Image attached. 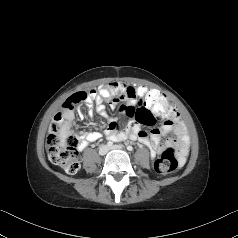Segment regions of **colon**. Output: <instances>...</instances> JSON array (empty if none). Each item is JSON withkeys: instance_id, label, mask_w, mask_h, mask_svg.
Listing matches in <instances>:
<instances>
[{"instance_id": "1", "label": "colon", "mask_w": 238, "mask_h": 238, "mask_svg": "<svg viewBox=\"0 0 238 238\" xmlns=\"http://www.w3.org/2000/svg\"><path fill=\"white\" fill-rule=\"evenodd\" d=\"M93 90L96 91V94H99L100 103H119L118 94H125L128 86L125 82L120 81L117 84H108L107 86H94ZM135 93L137 96L148 100L149 111L157 119H165L175 112L173 107L166 101V95L162 91L139 84L135 88ZM87 95L84 91L76 92L66 99L64 105L72 108L75 104L84 101ZM71 121L69 120L65 123L54 122L47 138V145L50 161L65 172L74 174L79 170L80 163L77 151L78 138L70 125ZM178 165L179 161L175 150L172 147H168L163 151L160 158L156 160L155 169L160 174H167L173 172Z\"/></svg>"}]
</instances>
